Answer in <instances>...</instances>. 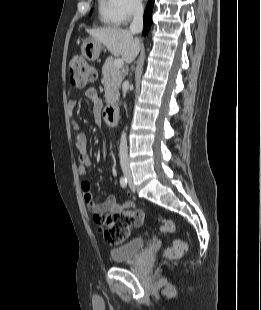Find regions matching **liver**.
Masks as SVG:
<instances>
[{"label": "liver", "mask_w": 261, "mask_h": 310, "mask_svg": "<svg viewBox=\"0 0 261 310\" xmlns=\"http://www.w3.org/2000/svg\"><path fill=\"white\" fill-rule=\"evenodd\" d=\"M90 36L104 44L114 56H122L123 61L130 64L137 57L141 44L133 33L121 28H100L88 30Z\"/></svg>", "instance_id": "obj_1"}]
</instances>
